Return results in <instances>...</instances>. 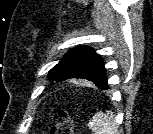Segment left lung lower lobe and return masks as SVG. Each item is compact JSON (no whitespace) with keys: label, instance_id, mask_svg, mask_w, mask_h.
I'll return each mask as SVG.
<instances>
[{"label":"left lung lower lobe","instance_id":"1","mask_svg":"<svg viewBox=\"0 0 153 134\" xmlns=\"http://www.w3.org/2000/svg\"><path fill=\"white\" fill-rule=\"evenodd\" d=\"M99 89H101V90H106V89H108V86L100 87Z\"/></svg>","mask_w":153,"mask_h":134}]
</instances>
